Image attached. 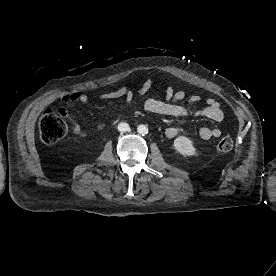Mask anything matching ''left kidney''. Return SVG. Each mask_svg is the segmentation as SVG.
Wrapping results in <instances>:
<instances>
[{"mask_svg":"<svg viewBox=\"0 0 276 276\" xmlns=\"http://www.w3.org/2000/svg\"><path fill=\"white\" fill-rule=\"evenodd\" d=\"M174 148L183 156H194L197 153L193 142L185 136H179L174 140Z\"/></svg>","mask_w":276,"mask_h":276,"instance_id":"1","label":"left kidney"}]
</instances>
